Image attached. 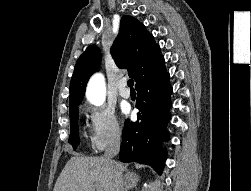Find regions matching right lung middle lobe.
<instances>
[{
    "instance_id": "1",
    "label": "right lung middle lobe",
    "mask_w": 251,
    "mask_h": 191,
    "mask_svg": "<svg viewBox=\"0 0 251 191\" xmlns=\"http://www.w3.org/2000/svg\"><path fill=\"white\" fill-rule=\"evenodd\" d=\"M69 116H70V127H71L69 143L73 146V149L75 150L80 142L78 133V117H79L78 106L69 107Z\"/></svg>"
}]
</instances>
